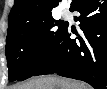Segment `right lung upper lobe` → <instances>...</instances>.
Masks as SVG:
<instances>
[{
  "label": "right lung upper lobe",
  "instance_id": "obj_1",
  "mask_svg": "<svg viewBox=\"0 0 107 89\" xmlns=\"http://www.w3.org/2000/svg\"><path fill=\"white\" fill-rule=\"evenodd\" d=\"M75 0H72L71 5ZM60 0H15L8 17V27L52 16Z\"/></svg>",
  "mask_w": 107,
  "mask_h": 89
}]
</instances>
